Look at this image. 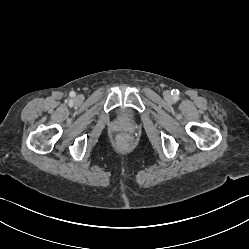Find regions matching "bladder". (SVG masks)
Masks as SVG:
<instances>
[{"label":"bladder","mask_w":249,"mask_h":249,"mask_svg":"<svg viewBox=\"0 0 249 249\" xmlns=\"http://www.w3.org/2000/svg\"><path fill=\"white\" fill-rule=\"evenodd\" d=\"M120 115H121L122 118H127L128 117L127 111L125 109L120 111Z\"/></svg>","instance_id":"obj_1"}]
</instances>
